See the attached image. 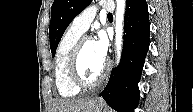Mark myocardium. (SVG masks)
Segmentation results:
<instances>
[{
  "mask_svg": "<svg viewBox=\"0 0 193 112\" xmlns=\"http://www.w3.org/2000/svg\"><path fill=\"white\" fill-rule=\"evenodd\" d=\"M87 41H93L89 36L80 37L75 43L69 60V74L72 82L80 89H91L100 85L107 77L109 72V63L105 61L103 71L93 81L86 80L80 71V57L84 44Z\"/></svg>",
  "mask_w": 193,
  "mask_h": 112,
  "instance_id": "1",
  "label": "myocardium"
}]
</instances>
